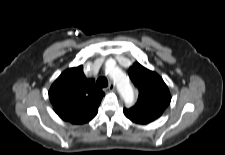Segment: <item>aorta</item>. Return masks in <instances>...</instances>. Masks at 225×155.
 I'll return each mask as SVG.
<instances>
[{
	"instance_id": "obj_1",
	"label": "aorta",
	"mask_w": 225,
	"mask_h": 155,
	"mask_svg": "<svg viewBox=\"0 0 225 155\" xmlns=\"http://www.w3.org/2000/svg\"><path fill=\"white\" fill-rule=\"evenodd\" d=\"M107 70L109 76L116 84L117 90L120 93L123 101L127 104H130L133 101V90L128 77L114 64H109L107 66Z\"/></svg>"
}]
</instances>
